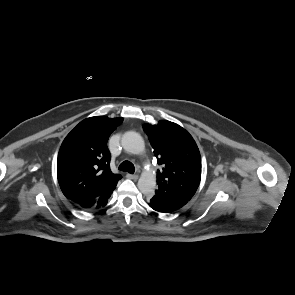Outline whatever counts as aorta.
Segmentation results:
<instances>
[{
    "mask_svg": "<svg viewBox=\"0 0 295 295\" xmlns=\"http://www.w3.org/2000/svg\"><path fill=\"white\" fill-rule=\"evenodd\" d=\"M121 145L125 151L131 154H141L145 149V143L142 136L135 131H128L123 134ZM156 178L150 172H143L138 180V189L146 196L154 193Z\"/></svg>",
    "mask_w": 295,
    "mask_h": 295,
    "instance_id": "762f6f07",
    "label": "aorta"
}]
</instances>
